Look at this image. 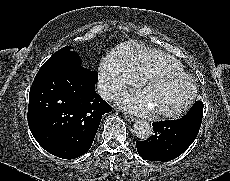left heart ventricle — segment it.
Instances as JSON below:
<instances>
[{"label":"left heart ventricle","instance_id":"b2bd125f","mask_svg":"<svg viewBox=\"0 0 230 181\" xmlns=\"http://www.w3.org/2000/svg\"><path fill=\"white\" fill-rule=\"evenodd\" d=\"M190 91L188 81L166 77L149 83L143 95L155 110H174L184 104Z\"/></svg>","mask_w":230,"mask_h":181}]
</instances>
